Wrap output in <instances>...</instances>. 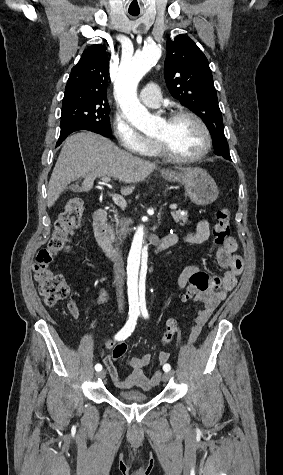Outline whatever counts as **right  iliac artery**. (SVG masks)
Returning <instances> with one entry per match:
<instances>
[{
	"mask_svg": "<svg viewBox=\"0 0 283 475\" xmlns=\"http://www.w3.org/2000/svg\"><path fill=\"white\" fill-rule=\"evenodd\" d=\"M139 312H129V319L126 322L125 326L115 335V339L120 341V340H125L127 337L131 335V333L135 329L136 321L139 316ZM95 370L96 371H101L102 370V365L101 364H96L95 365Z\"/></svg>",
	"mask_w": 283,
	"mask_h": 475,
	"instance_id": "1",
	"label": "right iliac artery"
}]
</instances>
